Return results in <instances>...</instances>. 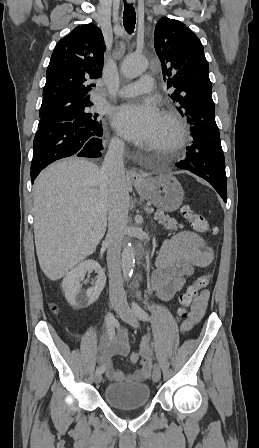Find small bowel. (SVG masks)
<instances>
[{
  "instance_id": "obj_1",
  "label": "small bowel",
  "mask_w": 259,
  "mask_h": 448,
  "mask_svg": "<svg viewBox=\"0 0 259 448\" xmlns=\"http://www.w3.org/2000/svg\"><path fill=\"white\" fill-rule=\"evenodd\" d=\"M214 259L213 249L201 236L182 231L163 242L156 259V270L152 274L151 286L155 294L164 301L172 299L185 286V277L194 267H205ZM209 292L204 290L195 300L188 319L182 325L183 332L189 331L204 316ZM130 352L126 329L122 328L116 338L104 336L99 345L98 362L105 367L106 377L112 382H142L150 377L152 360L146 342L141 346V368L127 376L112 366L113 356H127Z\"/></svg>"
}]
</instances>
